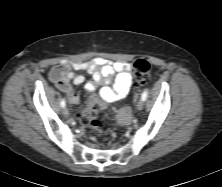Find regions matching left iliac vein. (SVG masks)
Returning a JSON list of instances; mask_svg holds the SVG:
<instances>
[{"label":"left iliac vein","mask_w":222,"mask_h":187,"mask_svg":"<svg viewBox=\"0 0 222 187\" xmlns=\"http://www.w3.org/2000/svg\"><path fill=\"white\" fill-rule=\"evenodd\" d=\"M143 107H144V101L141 99L137 103V109L140 111L143 109Z\"/></svg>","instance_id":"4c4485c4"}]
</instances>
